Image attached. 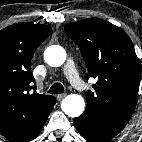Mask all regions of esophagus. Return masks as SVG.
Returning <instances> with one entry per match:
<instances>
[{
	"label": "esophagus",
	"mask_w": 142,
	"mask_h": 142,
	"mask_svg": "<svg viewBox=\"0 0 142 142\" xmlns=\"http://www.w3.org/2000/svg\"><path fill=\"white\" fill-rule=\"evenodd\" d=\"M65 96H66L65 93H64V94H58V95L56 96V98H57L58 101H60V100H62Z\"/></svg>",
	"instance_id": "34e87169"
}]
</instances>
